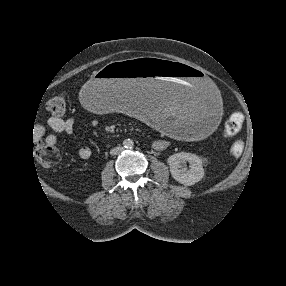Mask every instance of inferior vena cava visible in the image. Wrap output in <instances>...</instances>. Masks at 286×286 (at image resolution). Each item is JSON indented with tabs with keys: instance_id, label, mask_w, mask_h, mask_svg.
Listing matches in <instances>:
<instances>
[{
	"instance_id": "602c4592",
	"label": "inferior vena cava",
	"mask_w": 286,
	"mask_h": 286,
	"mask_svg": "<svg viewBox=\"0 0 286 286\" xmlns=\"http://www.w3.org/2000/svg\"><path fill=\"white\" fill-rule=\"evenodd\" d=\"M122 150H123L122 147H115V148H113V149L110 150V154H111V155H117V154H119Z\"/></svg>"
}]
</instances>
